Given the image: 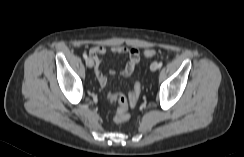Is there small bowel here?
I'll return each instance as SVG.
<instances>
[{
	"instance_id": "c3829d8e",
	"label": "small bowel",
	"mask_w": 244,
	"mask_h": 157,
	"mask_svg": "<svg viewBox=\"0 0 244 157\" xmlns=\"http://www.w3.org/2000/svg\"><path fill=\"white\" fill-rule=\"evenodd\" d=\"M109 51L113 54L129 55V60L122 70H120L119 72H116L115 70H110L109 74L115 75L118 73L123 77L130 76L140 60L139 50L137 48H128L124 45H115L111 47ZM106 53L107 48L105 46H94L89 49V55L91 56L95 64V75L101 86H105L107 83V75L101 69L102 56Z\"/></svg>"
}]
</instances>
